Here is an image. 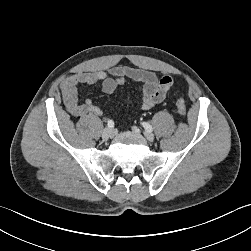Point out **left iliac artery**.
I'll list each match as a JSON object with an SVG mask.
<instances>
[{"instance_id": "44dca946", "label": "left iliac artery", "mask_w": 251, "mask_h": 251, "mask_svg": "<svg viewBox=\"0 0 251 251\" xmlns=\"http://www.w3.org/2000/svg\"><path fill=\"white\" fill-rule=\"evenodd\" d=\"M141 124H142V126L144 127V129H145L146 131H148V132H152V131H153V128H152V126H151L149 123H147V122H142Z\"/></svg>"}]
</instances>
